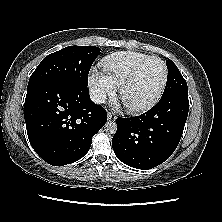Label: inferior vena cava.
I'll return each instance as SVG.
<instances>
[{"label":"inferior vena cava","mask_w":222,"mask_h":222,"mask_svg":"<svg viewBox=\"0 0 222 222\" xmlns=\"http://www.w3.org/2000/svg\"><path fill=\"white\" fill-rule=\"evenodd\" d=\"M90 99L92 100V102H94L96 104H100V103H104L105 102L106 95L104 93L92 91L90 93Z\"/></svg>","instance_id":"obj_1"}]
</instances>
